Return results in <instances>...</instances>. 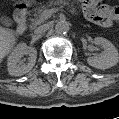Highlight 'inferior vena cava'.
<instances>
[{
	"label": "inferior vena cava",
	"instance_id": "1",
	"mask_svg": "<svg viewBox=\"0 0 119 119\" xmlns=\"http://www.w3.org/2000/svg\"><path fill=\"white\" fill-rule=\"evenodd\" d=\"M49 29H50V24H43V25L39 26L38 28H36L34 33L37 35L43 34L44 32H46Z\"/></svg>",
	"mask_w": 119,
	"mask_h": 119
}]
</instances>
